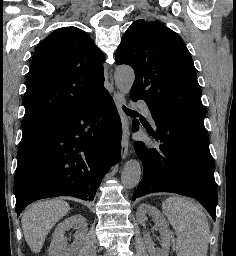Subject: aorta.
Instances as JSON below:
<instances>
[{
    "mask_svg": "<svg viewBox=\"0 0 236 256\" xmlns=\"http://www.w3.org/2000/svg\"><path fill=\"white\" fill-rule=\"evenodd\" d=\"M135 80V74L131 67L120 66L115 71V83L118 89L125 95L131 90ZM141 179V165L136 159L126 162L121 173L122 185L132 189L138 185Z\"/></svg>",
    "mask_w": 236,
    "mask_h": 256,
    "instance_id": "aorta-1",
    "label": "aorta"
}]
</instances>
